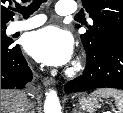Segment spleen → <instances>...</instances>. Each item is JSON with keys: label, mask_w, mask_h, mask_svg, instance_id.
I'll use <instances>...</instances> for the list:
<instances>
[{"label": "spleen", "mask_w": 123, "mask_h": 113, "mask_svg": "<svg viewBox=\"0 0 123 113\" xmlns=\"http://www.w3.org/2000/svg\"><path fill=\"white\" fill-rule=\"evenodd\" d=\"M94 97L109 98L113 97L120 113H123V91L111 88L99 89L92 93Z\"/></svg>", "instance_id": "1"}]
</instances>
